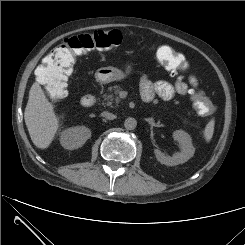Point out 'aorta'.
<instances>
[{"label":"aorta","mask_w":245,"mask_h":245,"mask_svg":"<svg viewBox=\"0 0 245 245\" xmlns=\"http://www.w3.org/2000/svg\"><path fill=\"white\" fill-rule=\"evenodd\" d=\"M137 126V121L135 118L129 117L124 122V127L127 130H134Z\"/></svg>","instance_id":"762f6f07"}]
</instances>
